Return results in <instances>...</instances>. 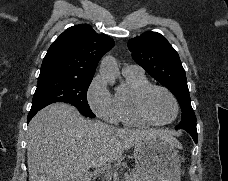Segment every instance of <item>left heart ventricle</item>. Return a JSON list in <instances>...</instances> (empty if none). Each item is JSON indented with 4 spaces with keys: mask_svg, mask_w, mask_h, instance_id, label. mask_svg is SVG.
<instances>
[{
    "mask_svg": "<svg viewBox=\"0 0 228 181\" xmlns=\"http://www.w3.org/2000/svg\"><path fill=\"white\" fill-rule=\"evenodd\" d=\"M145 110L147 113L159 115L158 119H167L172 115V106L169 98L161 91H154L148 98Z\"/></svg>",
    "mask_w": 228,
    "mask_h": 181,
    "instance_id": "obj_1",
    "label": "left heart ventricle"
}]
</instances>
